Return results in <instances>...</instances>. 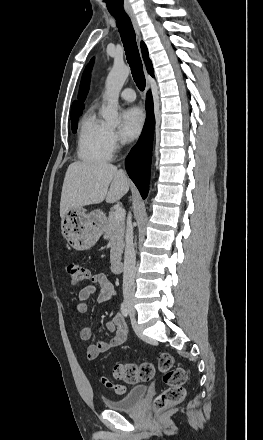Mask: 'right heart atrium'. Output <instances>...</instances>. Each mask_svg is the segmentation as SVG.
I'll return each mask as SVG.
<instances>
[{
  "instance_id": "obj_1",
  "label": "right heart atrium",
  "mask_w": 263,
  "mask_h": 440,
  "mask_svg": "<svg viewBox=\"0 0 263 440\" xmlns=\"http://www.w3.org/2000/svg\"><path fill=\"white\" fill-rule=\"evenodd\" d=\"M109 141L113 149L117 148L120 144V138L116 131L109 129Z\"/></svg>"
}]
</instances>
